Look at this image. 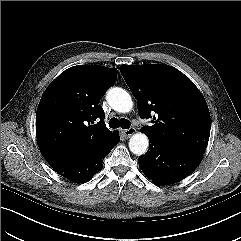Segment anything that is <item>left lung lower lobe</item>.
I'll use <instances>...</instances> for the list:
<instances>
[{
    "mask_svg": "<svg viewBox=\"0 0 241 241\" xmlns=\"http://www.w3.org/2000/svg\"><path fill=\"white\" fill-rule=\"evenodd\" d=\"M149 150L138 161L145 175L158 185L176 183L191 174L203 154L149 138Z\"/></svg>",
    "mask_w": 241,
    "mask_h": 241,
    "instance_id": "left-lung-lower-lobe-1",
    "label": "left lung lower lobe"
}]
</instances>
